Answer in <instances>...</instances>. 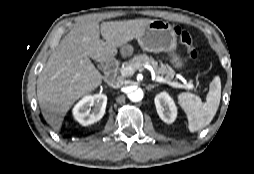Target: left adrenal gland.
<instances>
[{
	"label": "left adrenal gland",
	"instance_id": "1",
	"mask_svg": "<svg viewBox=\"0 0 254 174\" xmlns=\"http://www.w3.org/2000/svg\"><path fill=\"white\" fill-rule=\"evenodd\" d=\"M156 86H158V85H148V86H146V89L148 90V91H150L152 88H154V87H156Z\"/></svg>",
	"mask_w": 254,
	"mask_h": 174
}]
</instances>
